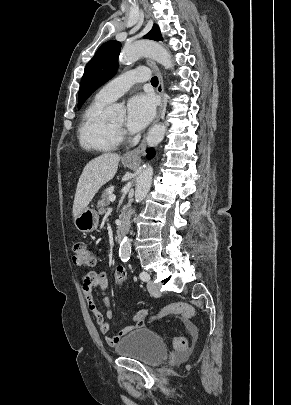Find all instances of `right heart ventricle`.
Instances as JSON below:
<instances>
[{"instance_id":"e07e8e85","label":"right heart ventricle","mask_w":291,"mask_h":405,"mask_svg":"<svg viewBox=\"0 0 291 405\" xmlns=\"http://www.w3.org/2000/svg\"><path fill=\"white\" fill-rule=\"evenodd\" d=\"M109 103L95 97L85 109L78 128V138L84 149L105 153L117 148L119 138L104 115Z\"/></svg>"}]
</instances>
